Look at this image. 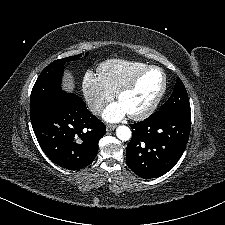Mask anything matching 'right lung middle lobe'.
Segmentation results:
<instances>
[{"label":"right lung middle lobe","mask_w":225,"mask_h":225,"mask_svg":"<svg viewBox=\"0 0 225 225\" xmlns=\"http://www.w3.org/2000/svg\"><path fill=\"white\" fill-rule=\"evenodd\" d=\"M88 52L86 53V55ZM81 57L75 55L58 59L49 64L39 75L36 83L33 86L30 96V107L49 98L50 96L58 95L63 92L61 88V78L63 75L65 61H74Z\"/></svg>","instance_id":"dd1d6c3e"}]
</instances>
